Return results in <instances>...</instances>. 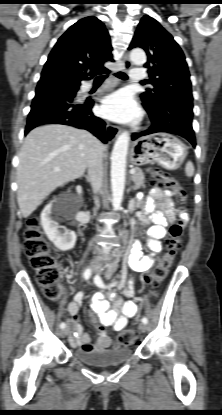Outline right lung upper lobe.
Wrapping results in <instances>:
<instances>
[{
	"label": "right lung upper lobe",
	"mask_w": 222,
	"mask_h": 415,
	"mask_svg": "<svg viewBox=\"0 0 222 415\" xmlns=\"http://www.w3.org/2000/svg\"><path fill=\"white\" fill-rule=\"evenodd\" d=\"M110 37L96 17L73 24L57 41L42 72L54 71L78 81L108 72L103 64L112 59ZM90 76V77H87Z\"/></svg>",
	"instance_id": "obj_1"
}]
</instances>
